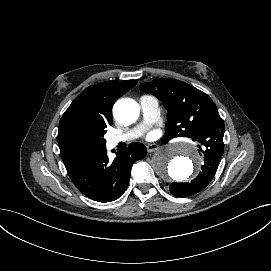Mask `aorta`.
Wrapping results in <instances>:
<instances>
[{
  "instance_id": "762f6f07",
  "label": "aorta",
  "mask_w": 271,
  "mask_h": 271,
  "mask_svg": "<svg viewBox=\"0 0 271 271\" xmlns=\"http://www.w3.org/2000/svg\"><path fill=\"white\" fill-rule=\"evenodd\" d=\"M140 109L134 100L122 99L115 103V119L125 125L134 123L139 117ZM201 162L196 151L185 143L171 144L154 153L151 166L163 179L184 181L193 173Z\"/></svg>"
}]
</instances>
